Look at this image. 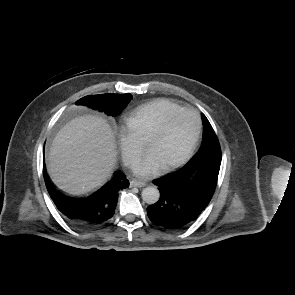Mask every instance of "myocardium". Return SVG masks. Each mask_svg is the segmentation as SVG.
Wrapping results in <instances>:
<instances>
[{"label": "myocardium", "instance_id": "f54148a6", "mask_svg": "<svg viewBox=\"0 0 295 295\" xmlns=\"http://www.w3.org/2000/svg\"><path fill=\"white\" fill-rule=\"evenodd\" d=\"M185 113L192 114L195 118V121H196L195 134L193 136V139H192L188 149L185 151V153L181 157L176 159L175 161L162 166L161 167L162 171H169V170H172L174 168L181 166L186 161H188L190 159V157L193 155V153L198 145L200 135H201V130H202V124H201V119H200L199 114L195 110L189 109V108H182L180 110H177V111L171 113L170 115H168L163 120V122L157 127V129L145 141V148L147 150V148L150 144L157 141L158 139H160L163 136V134L167 130L169 124L172 122V120L175 117H177L180 114H185Z\"/></svg>", "mask_w": 295, "mask_h": 295}]
</instances>
